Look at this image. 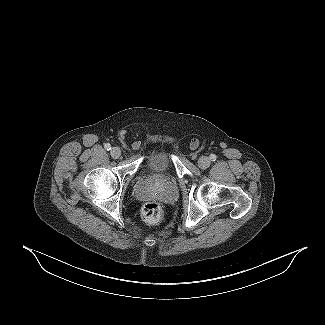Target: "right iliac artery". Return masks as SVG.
I'll return each instance as SVG.
<instances>
[{
	"label": "right iliac artery",
	"instance_id": "1",
	"mask_svg": "<svg viewBox=\"0 0 325 325\" xmlns=\"http://www.w3.org/2000/svg\"><path fill=\"white\" fill-rule=\"evenodd\" d=\"M104 147H105V149L108 150V151L111 150V145H110L109 143L105 144Z\"/></svg>",
	"mask_w": 325,
	"mask_h": 325
}]
</instances>
